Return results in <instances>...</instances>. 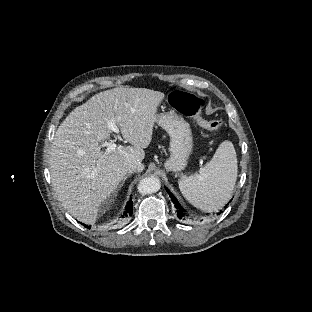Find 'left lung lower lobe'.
Masks as SVG:
<instances>
[{
    "instance_id": "0a47b994",
    "label": "left lung lower lobe",
    "mask_w": 312,
    "mask_h": 312,
    "mask_svg": "<svg viewBox=\"0 0 312 312\" xmlns=\"http://www.w3.org/2000/svg\"><path fill=\"white\" fill-rule=\"evenodd\" d=\"M166 190H167L169 196L171 197L172 201L174 202L175 207L178 209V210H177V217H178L179 219H184L185 216H186L185 210H184L183 208H181L179 202H178L177 199L174 197V195L171 194V193L168 191V189H166Z\"/></svg>"
}]
</instances>
